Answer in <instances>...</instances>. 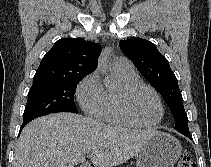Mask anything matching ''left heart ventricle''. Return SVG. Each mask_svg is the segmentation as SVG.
<instances>
[{
	"label": "left heart ventricle",
	"mask_w": 211,
	"mask_h": 167,
	"mask_svg": "<svg viewBox=\"0 0 211 167\" xmlns=\"http://www.w3.org/2000/svg\"><path fill=\"white\" fill-rule=\"evenodd\" d=\"M129 107L141 122L151 124L160 117V107L155 96L146 89H141L129 98Z\"/></svg>",
	"instance_id": "b2bd125f"
}]
</instances>
